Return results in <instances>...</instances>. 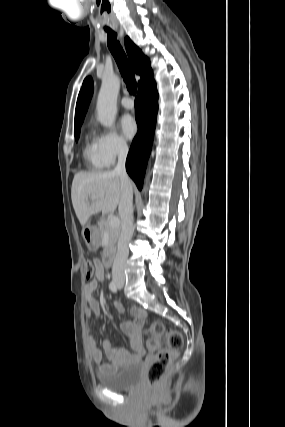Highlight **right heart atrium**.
Listing matches in <instances>:
<instances>
[{
    "mask_svg": "<svg viewBox=\"0 0 285 427\" xmlns=\"http://www.w3.org/2000/svg\"><path fill=\"white\" fill-rule=\"evenodd\" d=\"M96 139L107 166L112 165L119 157L126 155L129 150L127 142L115 129L102 131Z\"/></svg>",
    "mask_w": 285,
    "mask_h": 427,
    "instance_id": "right-heart-atrium-1",
    "label": "right heart atrium"
}]
</instances>
